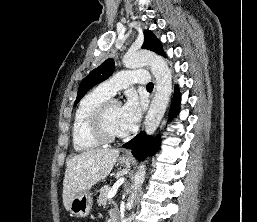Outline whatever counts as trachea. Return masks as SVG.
I'll use <instances>...</instances> for the list:
<instances>
[{"label":"trachea","mask_w":257,"mask_h":222,"mask_svg":"<svg viewBox=\"0 0 257 222\" xmlns=\"http://www.w3.org/2000/svg\"><path fill=\"white\" fill-rule=\"evenodd\" d=\"M153 87H154V85L152 82L148 83L146 86V88H150V89H153Z\"/></svg>","instance_id":"1"}]
</instances>
